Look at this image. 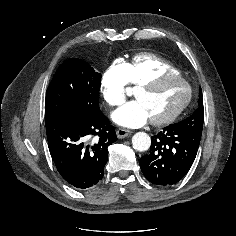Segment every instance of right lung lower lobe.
I'll return each mask as SVG.
<instances>
[{"label":"right lung lower lobe","instance_id":"obj_1","mask_svg":"<svg viewBox=\"0 0 236 236\" xmlns=\"http://www.w3.org/2000/svg\"><path fill=\"white\" fill-rule=\"evenodd\" d=\"M45 123L49 151L60 175L76 189L96 185L104 175L107 148L117 140L115 128L100 108Z\"/></svg>","mask_w":236,"mask_h":236}]
</instances>
